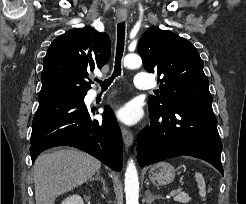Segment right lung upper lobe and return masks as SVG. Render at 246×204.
Masks as SVG:
<instances>
[{
    "label": "right lung upper lobe",
    "mask_w": 246,
    "mask_h": 204,
    "mask_svg": "<svg viewBox=\"0 0 246 204\" xmlns=\"http://www.w3.org/2000/svg\"><path fill=\"white\" fill-rule=\"evenodd\" d=\"M110 53V39L105 33L92 27L65 32L53 41L43 60L39 99L63 93H87L92 82L88 73L102 68Z\"/></svg>",
    "instance_id": "right-lung-upper-lobe-1"
}]
</instances>
